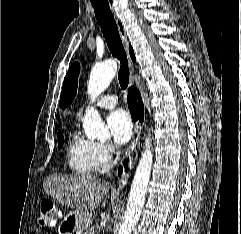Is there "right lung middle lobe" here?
<instances>
[{
    "label": "right lung middle lobe",
    "instance_id": "right-lung-middle-lobe-1",
    "mask_svg": "<svg viewBox=\"0 0 241 234\" xmlns=\"http://www.w3.org/2000/svg\"><path fill=\"white\" fill-rule=\"evenodd\" d=\"M64 143V137L62 133L59 131L58 132V149H60L63 146Z\"/></svg>",
    "mask_w": 241,
    "mask_h": 234
}]
</instances>
